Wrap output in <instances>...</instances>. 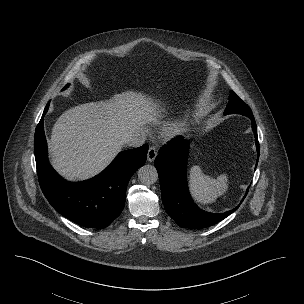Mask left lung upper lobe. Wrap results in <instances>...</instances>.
<instances>
[{
  "label": "left lung upper lobe",
  "instance_id": "5c2ea615",
  "mask_svg": "<svg viewBox=\"0 0 304 304\" xmlns=\"http://www.w3.org/2000/svg\"><path fill=\"white\" fill-rule=\"evenodd\" d=\"M227 114H241L249 118H254L250 107L242 101L233 91L229 95V103L224 112Z\"/></svg>",
  "mask_w": 304,
  "mask_h": 304
}]
</instances>
